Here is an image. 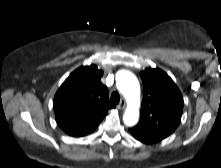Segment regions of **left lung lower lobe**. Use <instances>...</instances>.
<instances>
[{"label":"left lung lower lobe","mask_w":221,"mask_h":168,"mask_svg":"<svg viewBox=\"0 0 221 168\" xmlns=\"http://www.w3.org/2000/svg\"><path fill=\"white\" fill-rule=\"evenodd\" d=\"M130 132L135 139H137L145 144L157 143V142L161 141L160 138H157V137L152 136L150 134L136 132L132 129H130Z\"/></svg>","instance_id":"1"}]
</instances>
